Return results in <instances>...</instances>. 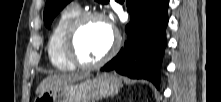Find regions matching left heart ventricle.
Segmentation results:
<instances>
[{
  "mask_svg": "<svg viewBox=\"0 0 221 102\" xmlns=\"http://www.w3.org/2000/svg\"><path fill=\"white\" fill-rule=\"evenodd\" d=\"M113 34L102 20H89L80 28L76 38L78 56L86 62L100 59L110 48Z\"/></svg>",
  "mask_w": 221,
  "mask_h": 102,
  "instance_id": "1",
  "label": "left heart ventricle"
}]
</instances>
